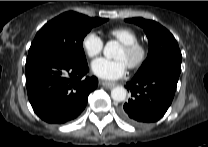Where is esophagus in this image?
Listing matches in <instances>:
<instances>
[{
    "label": "esophagus",
    "instance_id": "obj_1",
    "mask_svg": "<svg viewBox=\"0 0 208 147\" xmlns=\"http://www.w3.org/2000/svg\"><path fill=\"white\" fill-rule=\"evenodd\" d=\"M100 84L105 88H110V89L116 86V83L108 82V81H100Z\"/></svg>",
    "mask_w": 208,
    "mask_h": 147
}]
</instances>
